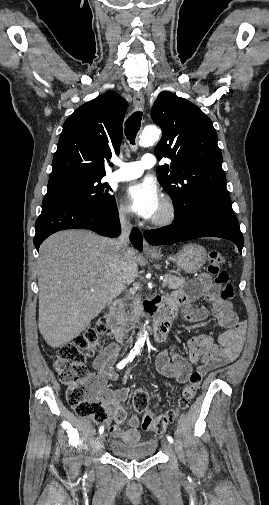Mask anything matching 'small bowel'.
<instances>
[{
  "mask_svg": "<svg viewBox=\"0 0 269 505\" xmlns=\"http://www.w3.org/2000/svg\"><path fill=\"white\" fill-rule=\"evenodd\" d=\"M201 298L208 302L209 311L194 307V303ZM165 300L174 309L181 306L184 319L190 323L205 321L212 315L218 325L226 330L219 336L218 344L205 334L191 337L187 342V358L175 352L174 349L160 352L156 359V368L159 374L183 384L192 374L193 366H196V371L206 375L233 362L239 356L244 342L246 323L239 320L233 313L231 304L219 296V287L212 283L208 274H200ZM117 353V347L110 345L94 362V367L97 370L96 375L101 381L100 397L108 405L109 415L114 421V425L109 429L113 437L127 443H136L140 440L137 416H132L128 420L126 429L122 427L127 420V413L122 403L128 399V390L120 388L112 391L104 388L105 380L117 378L114 369Z\"/></svg>",
  "mask_w": 269,
  "mask_h": 505,
  "instance_id": "obj_1",
  "label": "small bowel"
}]
</instances>
